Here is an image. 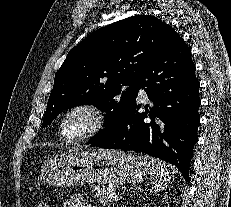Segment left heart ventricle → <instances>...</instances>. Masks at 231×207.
Instances as JSON below:
<instances>
[{
	"label": "left heart ventricle",
	"mask_w": 231,
	"mask_h": 207,
	"mask_svg": "<svg viewBox=\"0 0 231 207\" xmlns=\"http://www.w3.org/2000/svg\"><path fill=\"white\" fill-rule=\"evenodd\" d=\"M90 117L83 112H76L68 117L65 123V132L70 137L84 134L90 127Z\"/></svg>",
	"instance_id": "1"
}]
</instances>
